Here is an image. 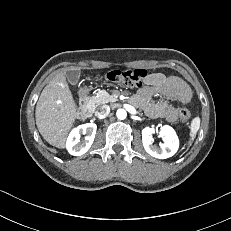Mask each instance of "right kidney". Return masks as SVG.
<instances>
[{
    "mask_svg": "<svg viewBox=\"0 0 231 231\" xmlns=\"http://www.w3.org/2000/svg\"><path fill=\"white\" fill-rule=\"evenodd\" d=\"M97 126L96 124L87 123L74 128L67 139L66 148L73 156H81L85 154L91 147ZM86 134L85 139L80 142V133Z\"/></svg>",
    "mask_w": 231,
    "mask_h": 231,
    "instance_id": "ca27d5eb",
    "label": "right kidney"
}]
</instances>
